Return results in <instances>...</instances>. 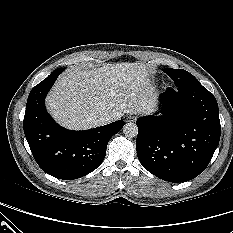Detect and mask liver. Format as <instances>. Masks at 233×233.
I'll return each instance as SVG.
<instances>
[{
	"label": "liver",
	"mask_w": 233,
	"mask_h": 233,
	"mask_svg": "<svg viewBox=\"0 0 233 233\" xmlns=\"http://www.w3.org/2000/svg\"><path fill=\"white\" fill-rule=\"evenodd\" d=\"M158 94L143 63L106 64L100 68L75 67L64 73L47 97V107L62 126L85 130L100 126L96 119L108 114L112 121L125 113L149 114Z\"/></svg>",
	"instance_id": "obj_1"
}]
</instances>
